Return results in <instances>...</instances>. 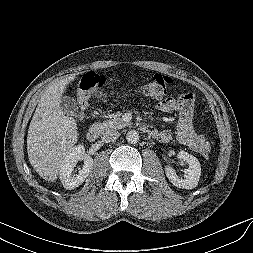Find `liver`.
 Instances as JSON below:
<instances>
[{
	"label": "liver",
	"mask_w": 253,
	"mask_h": 253,
	"mask_svg": "<svg viewBox=\"0 0 253 253\" xmlns=\"http://www.w3.org/2000/svg\"><path fill=\"white\" fill-rule=\"evenodd\" d=\"M74 79L75 75H70L48 86L28 129L29 162L46 181L53 182L58 178L62 161L78 140L75 119L66 116L60 107L66 86Z\"/></svg>",
	"instance_id": "6515ba94"
}]
</instances>
